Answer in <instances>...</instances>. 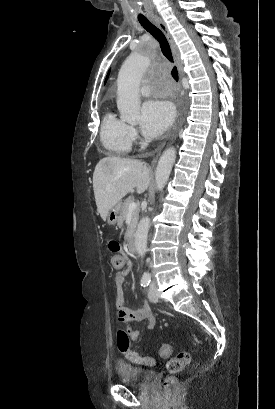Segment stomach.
Masks as SVG:
<instances>
[{"label": "stomach", "mask_w": 275, "mask_h": 409, "mask_svg": "<svg viewBox=\"0 0 275 409\" xmlns=\"http://www.w3.org/2000/svg\"><path fill=\"white\" fill-rule=\"evenodd\" d=\"M122 213V202H116V205L110 209L107 215L108 225H116L119 221V217Z\"/></svg>", "instance_id": "obj_1"}]
</instances>
